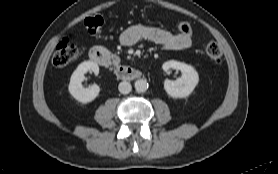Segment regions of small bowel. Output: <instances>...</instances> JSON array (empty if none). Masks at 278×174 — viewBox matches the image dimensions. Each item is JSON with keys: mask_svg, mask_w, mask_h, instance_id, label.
<instances>
[{"mask_svg": "<svg viewBox=\"0 0 278 174\" xmlns=\"http://www.w3.org/2000/svg\"><path fill=\"white\" fill-rule=\"evenodd\" d=\"M140 41H150L159 44L167 50H185L192 46V37L181 33L142 24L126 28L120 35V42L125 46L134 45Z\"/></svg>", "mask_w": 278, "mask_h": 174, "instance_id": "1", "label": "small bowel"}]
</instances>
